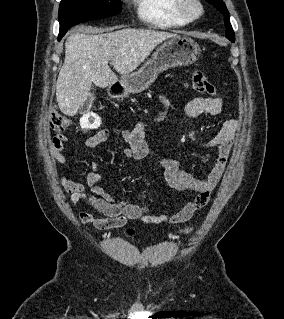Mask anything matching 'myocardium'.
<instances>
[{
  "mask_svg": "<svg viewBox=\"0 0 284 319\" xmlns=\"http://www.w3.org/2000/svg\"><path fill=\"white\" fill-rule=\"evenodd\" d=\"M180 13L190 21L200 19L204 14V5L201 0H178Z\"/></svg>",
  "mask_w": 284,
  "mask_h": 319,
  "instance_id": "1",
  "label": "myocardium"
}]
</instances>
